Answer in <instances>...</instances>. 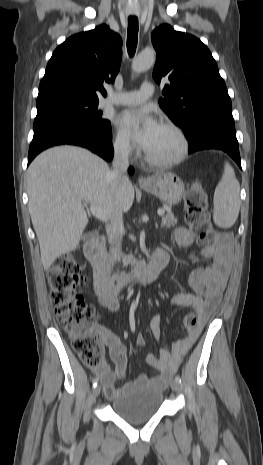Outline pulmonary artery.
I'll use <instances>...</instances> for the list:
<instances>
[{"instance_id":"e3ab8cb5","label":"pulmonary artery","mask_w":263,"mask_h":465,"mask_svg":"<svg viewBox=\"0 0 263 465\" xmlns=\"http://www.w3.org/2000/svg\"><path fill=\"white\" fill-rule=\"evenodd\" d=\"M155 87L151 82H144L139 90L110 94L105 100L106 104L112 105H138L146 101L154 93Z\"/></svg>"}]
</instances>
